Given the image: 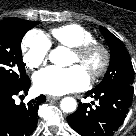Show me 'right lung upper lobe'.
I'll list each match as a JSON object with an SVG mask.
<instances>
[{
  "mask_svg": "<svg viewBox=\"0 0 136 136\" xmlns=\"http://www.w3.org/2000/svg\"><path fill=\"white\" fill-rule=\"evenodd\" d=\"M9 19H12V18H7V19H4V20H9Z\"/></svg>",
  "mask_w": 136,
  "mask_h": 136,
  "instance_id": "1",
  "label": "right lung upper lobe"
}]
</instances>
